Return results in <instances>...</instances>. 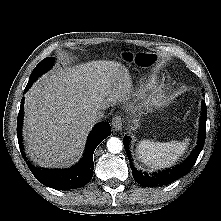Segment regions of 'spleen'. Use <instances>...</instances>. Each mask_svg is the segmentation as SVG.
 Here are the masks:
<instances>
[{"label":"spleen","mask_w":221,"mask_h":221,"mask_svg":"<svg viewBox=\"0 0 221 221\" xmlns=\"http://www.w3.org/2000/svg\"><path fill=\"white\" fill-rule=\"evenodd\" d=\"M188 144L189 139L170 142L142 140L137 145L136 154L145 165L154 169H163L174 165L184 154Z\"/></svg>","instance_id":"3e777b00"}]
</instances>
